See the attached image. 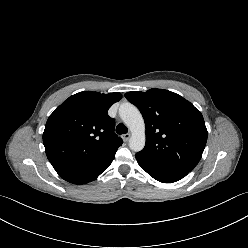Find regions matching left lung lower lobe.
Listing matches in <instances>:
<instances>
[{
    "instance_id": "0a47b994",
    "label": "left lung lower lobe",
    "mask_w": 248,
    "mask_h": 248,
    "mask_svg": "<svg viewBox=\"0 0 248 248\" xmlns=\"http://www.w3.org/2000/svg\"><path fill=\"white\" fill-rule=\"evenodd\" d=\"M139 166L159 182L172 183L185 177L189 172L181 169L156 165L140 159L135 155Z\"/></svg>"
}]
</instances>
